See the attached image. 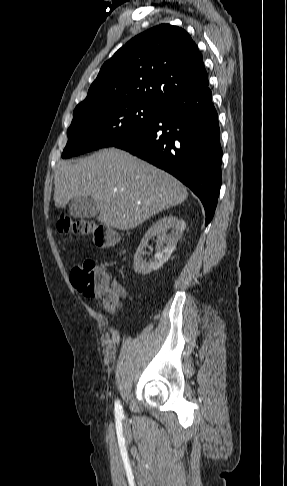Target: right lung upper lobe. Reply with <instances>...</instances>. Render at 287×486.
I'll list each match as a JSON object with an SVG mask.
<instances>
[{"mask_svg":"<svg viewBox=\"0 0 287 486\" xmlns=\"http://www.w3.org/2000/svg\"><path fill=\"white\" fill-rule=\"evenodd\" d=\"M207 85L203 57L190 35L161 24L132 38L106 61L74 111L116 100L162 105Z\"/></svg>","mask_w":287,"mask_h":486,"instance_id":"right-lung-upper-lobe-1","label":"right lung upper lobe"}]
</instances>
